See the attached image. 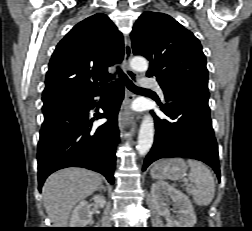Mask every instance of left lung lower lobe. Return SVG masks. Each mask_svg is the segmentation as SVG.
<instances>
[{"label":"left lung lower lobe","mask_w":252,"mask_h":231,"mask_svg":"<svg viewBox=\"0 0 252 231\" xmlns=\"http://www.w3.org/2000/svg\"><path fill=\"white\" fill-rule=\"evenodd\" d=\"M161 88L167 102L163 112L170 120L153 115L156 126L154 144L146 156L143 170L161 158L186 157L211 166L220 180L208 90L190 83H177L172 90Z\"/></svg>","instance_id":"left-lung-lower-lobe-1"}]
</instances>
